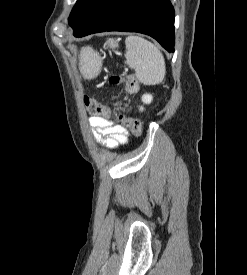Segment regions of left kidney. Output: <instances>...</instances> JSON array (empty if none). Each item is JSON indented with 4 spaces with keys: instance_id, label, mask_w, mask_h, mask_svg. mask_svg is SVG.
Listing matches in <instances>:
<instances>
[{
    "instance_id": "1",
    "label": "left kidney",
    "mask_w": 247,
    "mask_h": 275,
    "mask_svg": "<svg viewBox=\"0 0 247 275\" xmlns=\"http://www.w3.org/2000/svg\"><path fill=\"white\" fill-rule=\"evenodd\" d=\"M153 97L150 94H145L142 96V102L145 104H150ZM140 111H143V107H140Z\"/></svg>"
}]
</instances>
